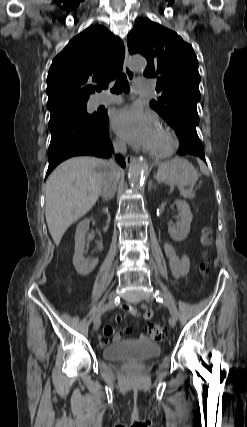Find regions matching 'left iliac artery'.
Listing matches in <instances>:
<instances>
[{
  "mask_svg": "<svg viewBox=\"0 0 247 427\" xmlns=\"http://www.w3.org/2000/svg\"><path fill=\"white\" fill-rule=\"evenodd\" d=\"M154 297L158 302L164 303L169 308L171 315L177 318L176 307L173 305V303L170 300L166 299L159 290H156Z\"/></svg>",
  "mask_w": 247,
  "mask_h": 427,
  "instance_id": "44dca946",
  "label": "left iliac artery"
}]
</instances>
